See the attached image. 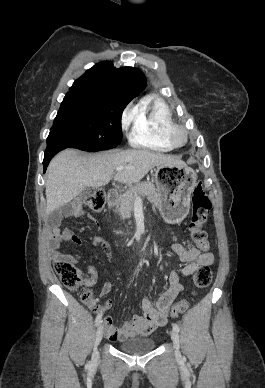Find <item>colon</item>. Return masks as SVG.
<instances>
[{"instance_id": "5ec220e1", "label": "colon", "mask_w": 265, "mask_h": 388, "mask_svg": "<svg viewBox=\"0 0 265 388\" xmlns=\"http://www.w3.org/2000/svg\"><path fill=\"white\" fill-rule=\"evenodd\" d=\"M106 200L105 190L99 189L84 200V205L93 212L100 211ZM212 204L199 182L192 196V216L189 225L190 234L194 244L204 252L209 250V241L204 225L208 219ZM54 269L62 283L72 291H82L81 298L84 302L91 301V292L84 290L82 271L74 263L66 260H58L54 263ZM213 277L209 265L200 266L193 275V286L203 289L210 285ZM189 306L188 301H181L174 304L170 309V316L177 317L184 313Z\"/></svg>"}]
</instances>
